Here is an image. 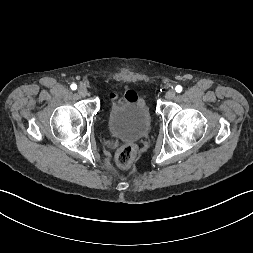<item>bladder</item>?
Returning <instances> with one entry per match:
<instances>
[{
	"label": "bladder",
	"instance_id": "1",
	"mask_svg": "<svg viewBox=\"0 0 253 253\" xmlns=\"http://www.w3.org/2000/svg\"><path fill=\"white\" fill-rule=\"evenodd\" d=\"M152 118L144 100H114L109 108V132L125 141H137L148 135Z\"/></svg>",
	"mask_w": 253,
	"mask_h": 253
}]
</instances>
